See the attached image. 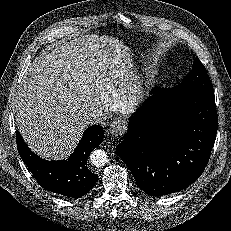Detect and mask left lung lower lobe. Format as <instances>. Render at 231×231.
Segmentation results:
<instances>
[{
  "instance_id": "obj_1",
  "label": "left lung lower lobe",
  "mask_w": 231,
  "mask_h": 231,
  "mask_svg": "<svg viewBox=\"0 0 231 231\" xmlns=\"http://www.w3.org/2000/svg\"><path fill=\"white\" fill-rule=\"evenodd\" d=\"M132 116L116 147L137 186L151 196L180 191L204 171L217 133L213 89L162 91Z\"/></svg>"
}]
</instances>
